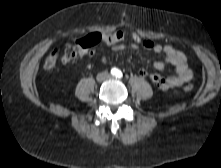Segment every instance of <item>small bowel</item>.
<instances>
[{"instance_id": "small-bowel-1", "label": "small bowel", "mask_w": 221, "mask_h": 168, "mask_svg": "<svg viewBox=\"0 0 221 168\" xmlns=\"http://www.w3.org/2000/svg\"><path fill=\"white\" fill-rule=\"evenodd\" d=\"M145 41L146 44L143 47L144 49L152 51L156 54H162L164 56V60H155L153 62L154 68L158 71H163L165 69V63L167 62L175 68L176 75L164 78L158 74L149 73L146 70L141 69L139 71V74L142 77L149 78L155 85H157L162 90L176 89L191 81L193 73L188 65L187 57L183 52L169 45L162 46L160 44L154 43L151 40ZM107 45L111 46L113 52H122L128 48L134 50L139 48L132 43L126 45L123 43V41Z\"/></svg>"}]
</instances>
